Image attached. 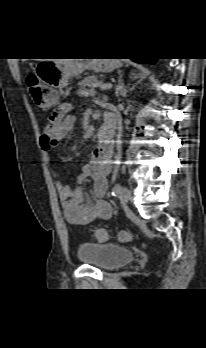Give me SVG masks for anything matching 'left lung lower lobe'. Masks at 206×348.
Listing matches in <instances>:
<instances>
[{"label": "left lung lower lobe", "mask_w": 206, "mask_h": 348, "mask_svg": "<svg viewBox=\"0 0 206 348\" xmlns=\"http://www.w3.org/2000/svg\"><path fill=\"white\" fill-rule=\"evenodd\" d=\"M136 62H140V63H154L156 59H152V58H149V59H132Z\"/></svg>", "instance_id": "left-lung-lower-lobe-1"}]
</instances>
